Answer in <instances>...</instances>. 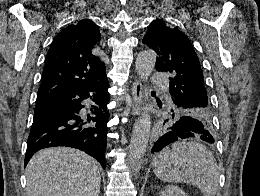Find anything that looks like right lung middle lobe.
<instances>
[{"instance_id":"obj_1","label":"right lung middle lobe","mask_w":260,"mask_h":196,"mask_svg":"<svg viewBox=\"0 0 260 196\" xmlns=\"http://www.w3.org/2000/svg\"><path fill=\"white\" fill-rule=\"evenodd\" d=\"M54 117H55V116H54V115H51V114L35 112L33 124H37V123H40V122H44V121L49 120V119H52V118H54Z\"/></svg>"}]
</instances>
